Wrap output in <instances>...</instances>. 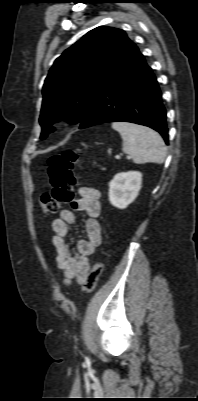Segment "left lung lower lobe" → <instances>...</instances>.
<instances>
[{"instance_id":"1","label":"left lung lower lobe","mask_w":198,"mask_h":401,"mask_svg":"<svg viewBox=\"0 0 198 401\" xmlns=\"http://www.w3.org/2000/svg\"><path fill=\"white\" fill-rule=\"evenodd\" d=\"M126 121L158 131L168 144L166 111L161 92L137 46L122 61L80 120V129Z\"/></svg>"}]
</instances>
